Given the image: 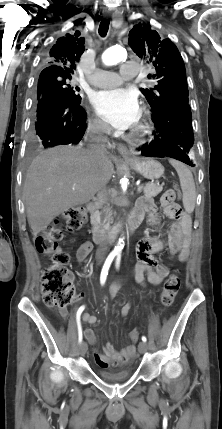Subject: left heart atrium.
I'll use <instances>...</instances> for the list:
<instances>
[{"label": "left heart atrium", "instance_id": "left-heart-atrium-1", "mask_svg": "<svg viewBox=\"0 0 222 429\" xmlns=\"http://www.w3.org/2000/svg\"><path fill=\"white\" fill-rule=\"evenodd\" d=\"M93 104L98 115L117 129L130 128L140 117L136 94L124 88H114L97 93Z\"/></svg>", "mask_w": 222, "mask_h": 429}]
</instances>
